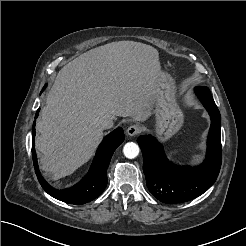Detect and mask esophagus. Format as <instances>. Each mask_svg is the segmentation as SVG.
<instances>
[{
	"label": "esophagus",
	"instance_id": "1",
	"mask_svg": "<svg viewBox=\"0 0 246 246\" xmlns=\"http://www.w3.org/2000/svg\"><path fill=\"white\" fill-rule=\"evenodd\" d=\"M141 131V127L137 124L131 125L127 128L126 132L129 136H135L139 134Z\"/></svg>",
	"mask_w": 246,
	"mask_h": 246
}]
</instances>
